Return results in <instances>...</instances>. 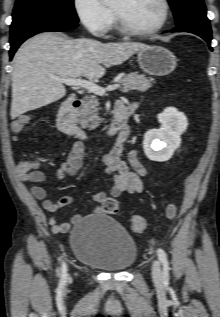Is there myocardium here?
<instances>
[{
    "label": "myocardium",
    "instance_id": "1",
    "mask_svg": "<svg viewBox=\"0 0 220 317\" xmlns=\"http://www.w3.org/2000/svg\"><path fill=\"white\" fill-rule=\"evenodd\" d=\"M160 3L162 4L163 7V15L160 20V22L155 25L154 27L150 29H145V30H137L132 27H130L124 19L121 17V15L114 9H112L116 26L118 30L123 33L124 35L131 36V37H144V36H149L153 35L157 32H159L168 22L169 17H170V3L168 0H160Z\"/></svg>",
    "mask_w": 220,
    "mask_h": 317
}]
</instances>
